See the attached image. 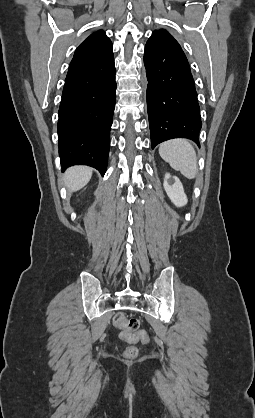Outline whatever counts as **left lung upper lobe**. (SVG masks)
<instances>
[{"label":"left lung upper lobe","mask_w":255,"mask_h":418,"mask_svg":"<svg viewBox=\"0 0 255 418\" xmlns=\"http://www.w3.org/2000/svg\"><path fill=\"white\" fill-rule=\"evenodd\" d=\"M149 39L157 40L160 42H177L173 36L164 29L154 31Z\"/></svg>","instance_id":"1"}]
</instances>
